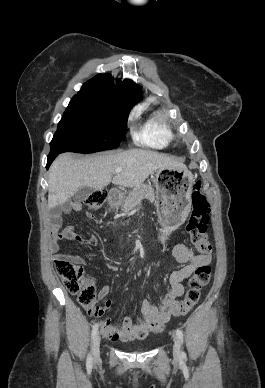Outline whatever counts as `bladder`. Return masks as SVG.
<instances>
[{"label": "bladder", "mask_w": 265, "mask_h": 388, "mask_svg": "<svg viewBox=\"0 0 265 388\" xmlns=\"http://www.w3.org/2000/svg\"><path fill=\"white\" fill-rule=\"evenodd\" d=\"M143 348H144V346H136V347L133 348V350L141 351V350H143Z\"/></svg>", "instance_id": "31cf9c89"}]
</instances>
